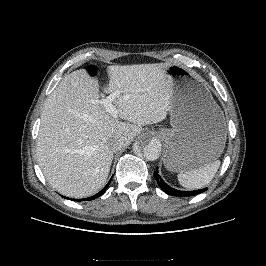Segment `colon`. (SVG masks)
Returning <instances> with one entry per match:
<instances>
[{
  "mask_svg": "<svg viewBox=\"0 0 266 266\" xmlns=\"http://www.w3.org/2000/svg\"><path fill=\"white\" fill-rule=\"evenodd\" d=\"M90 74L91 75H94L95 74V70L93 68L90 70Z\"/></svg>",
  "mask_w": 266,
  "mask_h": 266,
  "instance_id": "1",
  "label": "colon"
}]
</instances>
